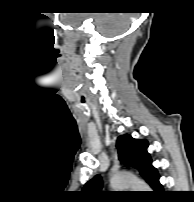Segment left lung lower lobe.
I'll return each instance as SVG.
<instances>
[{
	"label": "left lung lower lobe",
	"instance_id": "obj_1",
	"mask_svg": "<svg viewBox=\"0 0 194 202\" xmlns=\"http://www.w3.org/2000/svg\"><path fill=\"white\" fill-rule=\"evenodd\" d=\"M150 186L154 189L155 192L160 193L163 191L162 185L159 183V175L150 183Z\"/></svg>",
	"mask_w": 194,
	"mask_h": 202
}]
</instances>
